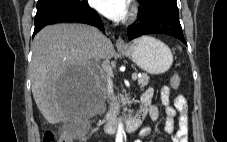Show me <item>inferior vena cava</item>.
<instances>
[{
  "mask_svg": "<svg viewBox=\"0 0 227 142\" xmlns=\"http://www.w3.org/2000/svg\"><path fill=\"white\" fill-rule=\"evenodd\" d=\"M105 39V36L96 28H94L93 34V43L97 50H100L102 41ZM104 68L106 65L103 66Z\"/></svg>",
  "mask_w": 227,
  "mask_h": 142,
  "instance_id": "1",
  "label": "inferior vena cava"
}]
</instances>
